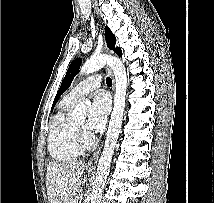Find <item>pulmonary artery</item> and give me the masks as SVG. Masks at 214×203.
Masks as SVG:
<instances>
[{"instance_id":"obj_1","label":"pulmonary artery","mask_w":214,"mask_h":203,"mask_svg":"<svg viewBox=\"0 0 214 203\" xmlns=\"http://www.w3.org/2000/svg\"><path fill=\"white\" fill-rule=\"evenodd\" d=\"M101 81L102 77L100 75L90 76L76 85L67 96L77 101L79 98L99 88Z\"/></svg>"}]
</instances>
